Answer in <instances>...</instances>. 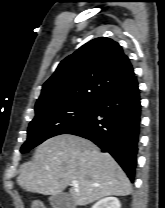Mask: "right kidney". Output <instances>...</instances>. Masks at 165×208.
<instances>
[{
    "instance_id": "1",
    "label": "right kidney",
    "mask_w": 165,
    "mask_h": 208,
    "mask_svg": "<svg viewBox=\"0 0 165 208\" xmlns=\"http://www.w3.org/2000/svg\"><path fill=\"white\" fill-rule=\"evenodd\" d=\"M120 201L116 197H106L101 199L92 208H120Z\"/></svg>"
}]
</instances>
